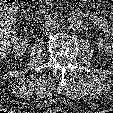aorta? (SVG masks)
<instances>
[{
	"mask_svg": "<svg viewBox=\"0 0 113 113\" xmlns=\"http://www.w3.org/2000/svg\"><path fill=\"white\" fill-rule=\"evenodd\" d=\"M67 26L69 29H72V30H78L81 25H82V21L81 19L78 17V16H70L68 19H67Z\"/></svg>",
	"mask_w": 113,
	"mask_h": 113,
	"instance_id": "aorta-1",
	"label": "aorta"
}]
</instances>
